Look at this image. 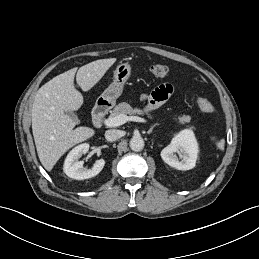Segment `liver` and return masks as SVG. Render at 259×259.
Listing matches in <instances>:
<instances>
[{"label": "liver", "mask_w": 259, "mask_h": 259, "mask_svg": "<svg viewBox=\"0 0 259 259\" xmlns=\"http://www.w3.org/2000/svg\"><path fill=\"white\" fill-rule=\"evenodd\" d=\"M116 58L90 62L77 71L70 69L44 84L36 93L32 106V131L41 164L51 171L61 156L74 145L91 138L95 131L80 126L67 112L78 110L83 104L82 94L75 89L74 77L87 92L95 86Z\"/></svg>", "instance_id": "liver-1"}]
</instances>
